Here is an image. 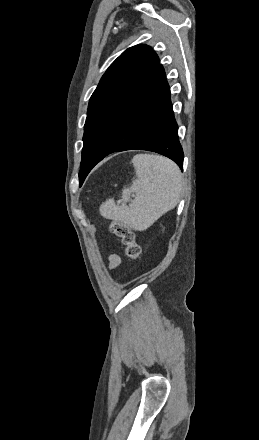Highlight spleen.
I'll return each instance as SVG.
<instances>
[{"instance_id":"spleen-1","label":"spleen","mask_w":259,"mask_h":440,"mask_svg":"<svg viewBox=\"0 0 259 440\" xmlns=\"http://www.w3.org/2000/svg\"><path fill=\"white\" fill-rule=\"evenodd\" d=\"M132 163L137 177L131 187L122 190V203L116 204L113 199H108L99 210L107 219L144 231L178 204L183 180L178 166L166 157L137 154Z\"/></svg>"}]
</instances>
